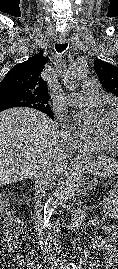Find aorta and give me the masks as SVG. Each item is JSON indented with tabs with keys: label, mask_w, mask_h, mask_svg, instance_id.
Returning <instances> with one entry per match:
<instances>
[{
	"label": "aorta",
	"mask_w": 118,
	"mask_h": 269,
	"mask_svg": "<svg viewBox=\"0 0 118 269\" xmlns=\"http://www.w3.org/2000/svg\"><path fill=\"white\" fill-rule=\"evenodd\" d=\"M87 72L88 64L86 60L82 58L75 60L64 76L66 87L72 90L75 89L86 77ZM82 184L83 175L81 171L75 170L66 176L61 186L55 190L51 198H49L44 205L43 224L45 228L50 226L51 217L59 203L78 192L81 189Z\"/></svg>",
	"instance_id": "obj_1"
}]
</instances>
